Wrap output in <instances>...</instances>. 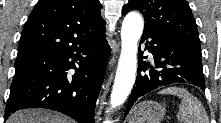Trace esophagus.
<instances>
[{"label": "esophagus", "instance_id": "1", "mask_svg": "<svg viewBox=\"0 0 221 123\" xmlns=\"http://www.w3.org/2000/svg\"><path fill=\"white\" fill-rule=\"evenodd\" d=\"M110 65H112L113 64V59L110 61V63H109Z\"/></svg>", "mask_w": 221, "mask_h": 123}]
</instances>
